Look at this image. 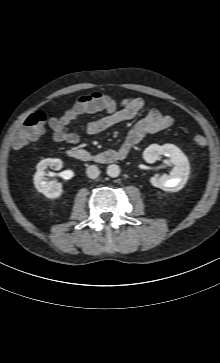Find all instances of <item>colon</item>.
Instances as JSON below:
<instances>
[{"label":"colon","mask_w":220,"mask_h":363,"mask_svg":"<svg viewBox=\"0 0 220 363\" xmlns=\"http://www.w3.org/2000/svg\"><path fill=\"white\" fill-rule=\"evenodd\" d=\"M93 98L99 101H106L109 97L104 93H93ZM49 119V114L45 111L39 110L31 113L23 121L22 126L17 133L14 141L13 147L19 149L26 145L27 143L37 139L43 133V128L45 123ZM194 143L197 146L203 147L207 143V139L203 134H196L193 138Z\"/></svg>","instance_id":"1"}]
</instances>
